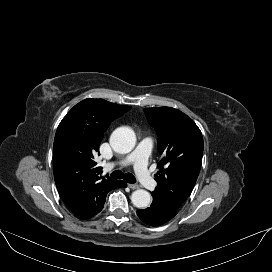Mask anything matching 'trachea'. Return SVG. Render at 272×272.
Instances as JSON below:
<instances>
[{
	"instance_id": "1",
	"label": "trachea",
	"mask_w": 272,
	"mask_h": 272,
	"mask_svg": "<svg viewBox=\"0 0 272 272\" xmlns=\"http://www.w3.org/2000/svg\"><path fill=\"white\" fill-rule=\"evenodd\" d=\"M111 177L116 179H123L127 183H135L136 179L131 173H125L123 174L120 170H116L110 174Z\"/></svg>"
}]
</instances>
